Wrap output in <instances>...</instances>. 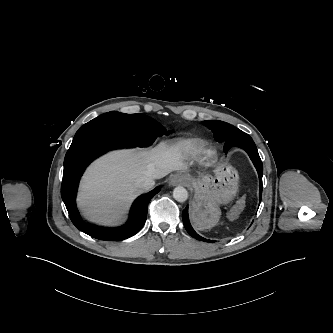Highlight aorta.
I'll list each match as a JSON object with an SVG mask.
<instances>
[{"label": "aorta", "mask_w": 333, "mask_h": 333, "mask_svg": "<svg viewBox=\"0 0 333 333\" xmlns=\"http://www.w3.org/2000/svg\"><path fill=\"white\" fill-rule=\"evenodd\" d=\"M173 197L178 202H185L188 198V192L184 187L177 186L173 190Z\"/></svg>", "instance_id": "aorta-1"}]
</instances>
